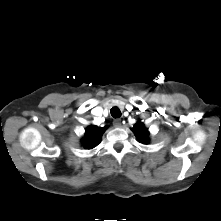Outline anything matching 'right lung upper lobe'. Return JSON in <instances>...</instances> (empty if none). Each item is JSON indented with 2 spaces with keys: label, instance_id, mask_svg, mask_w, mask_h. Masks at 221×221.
Listing matches in <instances>:
<instances>
[{
  "label": "right lung upper lobe",
  "instance_id": "obj_1",
  "mask_svg": "<svg viewBox=\"0 0 221 221\" xmlns=\"http://www.w3.org/2000/svg\"><path fill=\"white\" fill-rule=\"evenodd\" d=\"M105 130L106 127L89 126L86 129L85 138L82 140L83 146L87 149L96 147L100 143Z\"/></svg>",
  "mask_w": 221,
  "mask_h": 221
}]
</instances>
